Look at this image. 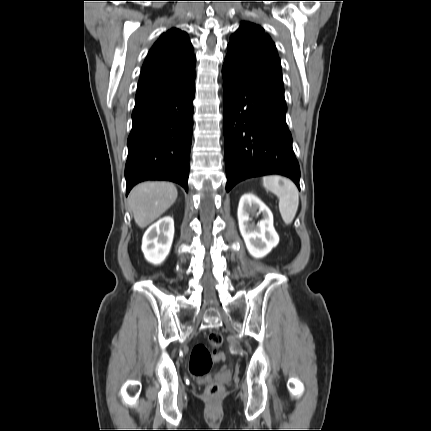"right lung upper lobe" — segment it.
<instances>
[{"mask_svg":"<svg viewBox=\"0 0 431 431\" xmlns=\"http://www.w3.org/2000/svg\"><path fill=\"white\" fill-rule=\"evenodd\" d=\"M195 63L192 44L185 32L173 28L161 34L143 64L135 108L181 89L195 78Z\"/></svg>","mask_w":431,"mask_h":431,"instance_id":"obj_1","label":"right lung upper lobe"}]
</instances>
